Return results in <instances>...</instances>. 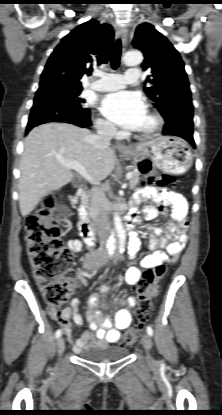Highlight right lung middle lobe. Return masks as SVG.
Here are the masks:
<instances>
[{
  "label": "right lung middle lobe",
  "mask_w": 222,
  "mask_h": 415,
  "mask_svg": "<svg viewBox=\"0 0 222 415\" xmlns=\"http://www.w3.org/2000/svg\"><path fill=\"white\" fill-rule=\"evenodd\" d=\"M63 86H64V90L69 93L74 99H76L79 103L80 102H84L83 100H81L80 93L82 91V87L81 86H74V85H70L67 84L65 82H62Z\"/></svg>",
  "instance_id": "obj_1"
}]
</instances>
